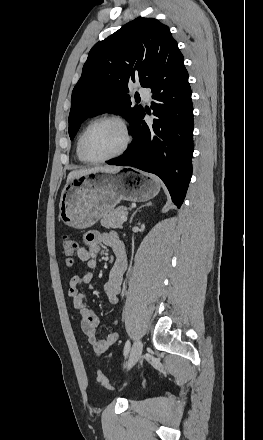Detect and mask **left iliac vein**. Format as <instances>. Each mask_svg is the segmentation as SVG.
<instances>
[{"label": "left iliac vein", "instance_id": "left-iliac-vein-1", "mask_svg": "<svg viewBox=\"0 0 263 440\" xmlns=\"http://www.w3.org/2000/svg\"><path fill=\"white\" fill-rule=\"evenodd\" d=\"M143 344L140 339H137L131 349L129 359L125 365L126 369H130L140 358L142 354Z\"/></svg>", "mask_w": 263, "mask_h": 440}]
</instances>
